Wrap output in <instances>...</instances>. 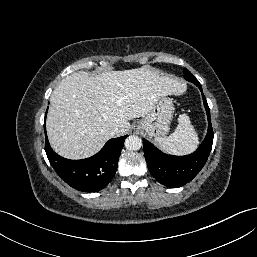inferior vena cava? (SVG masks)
Returning <instances> with one entry per match:
<instances>
[{
	"mask_svg": "<svg viewBox=\"0 0 257 257\" xmlns=\"http://www.w3.org/2000/svg\"><path fill=\"white\" fill-rule=\"evenodd\" d=\"M108 131L111 134V136H114L118 132V128L117 127H109Z\"/></svg>",
	"mask_w": 257,
	"mask_h": 257,
	"instance_id": "obj_1",
	"label": "inferior vena cava"
}]
</instances>
